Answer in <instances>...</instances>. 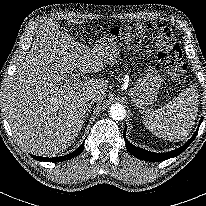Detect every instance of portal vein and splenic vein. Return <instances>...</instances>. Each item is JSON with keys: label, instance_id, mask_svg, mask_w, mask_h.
<instances>
[{"label": "portal vein and splenic vein", "instance_id": "portal-vein-and-splenic-vein-1", "mask_svg": "<svg viewBox=\"0 0 206 206\" xmlns=\"http://www.w3.org/2000/svg\"><path fill=\"white\" fill-rule=\"evenodd\" d=\"M80 74H73L70 78L71 81H73L74 83H79L80 82Z\"/></svg>", "mask_w": 206, "mask_h": 206}]
</instances>
